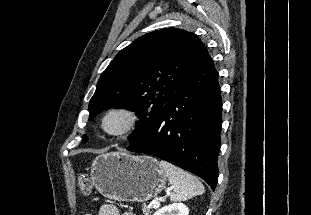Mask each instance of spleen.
I'll list each match as a JSON object with an SVG mask.
<instances>
[{
	"label": "spleen",
	"instance_id": "spleen-1",
	"mask_svg": "<svg viewBox=\"0 0 311 215\" xmlns=\"http://www.w3.org/2000/svg\"><path fill=\"white\" fill-rule=\"evenodd\" d=\"M159 165L173 187L170 193L171 201H185L204 193L203 184L194 175L164 160H161Z\"/></svg>",
	"mask_w": 311,
	"mask_h": 215
}]
</instances>
